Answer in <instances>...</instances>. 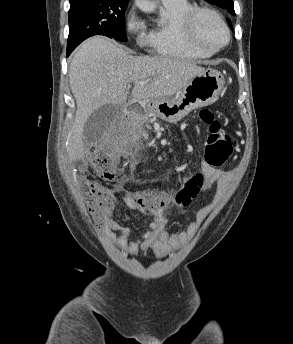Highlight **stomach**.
<instances>
[{"mask_svg": "<svg viewBox=\"0 0 293 344\" xmlns=\"http://www.w3.org/2000/svg\"><path fill=\"white\" fill-rule=\"evenodd\" d=\"M225 84L223 75L216 69H204L189 84L171 97L141 101L139 105L147 114L176 123L191 110L214 103Z\"/></svg>", "mask_w": 293, "mask_h": 344, "instance_id": "stomach-1", "label": "stomach"}]
</instances>
